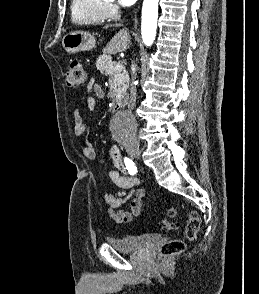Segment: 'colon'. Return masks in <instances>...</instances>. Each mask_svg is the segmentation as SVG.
Listing matches in <instances>:
<instances>
[{"instance_id":"5ec220e1","label":"colon","mask_w":259,"mask_h":294,"mask_svg":"<svg viewBox=\"0 0 259 294\" xmlns=\"http://www.w3.org/2000/svg\"><path fill=\"white\" fill-rule=\"evenodd\" d=\"M65 83L70 88L82 87L87 83V73L84 64L79 59L71 60L68 66V70L65 75ZM177 209L170 207L168 209V215L171 218L177 216ZM161 229L171 230L176 228V224L172 221L163 220L159 223ZM200 229V221L198 215L191 212L188 216V221L185 228L186 237L190 240L194 239ZM185 242L180 239H174L163 244L159 250L161 256H172L180 254L185 250Z\"/></svg>"}]
</instances>
